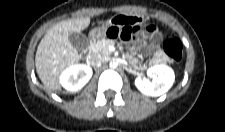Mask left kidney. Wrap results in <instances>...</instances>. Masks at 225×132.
Listing matches in <instances>:
<instances>
[{"label":"left kidney","mask_w":225,"mask_h":132,"mask_svg":"<svg viewBox=\"0 0 225 132\" xmlns=\"http://www.w3.org/2000/svg\"><path fill=\"white\" fill-rule=\"evenodd\" d=\"M147 75L152 80L145 77H137L135 85L138 90L148 96L157 97L166 93L173 85L175 74L172 68L166 65H155L147 70Z\"/></svg>","instance_id":"left-kidney-1"}]
</instances>
